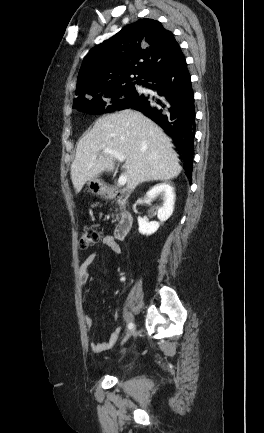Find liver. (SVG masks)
Masks as SVG:
<instances>
[{"mask_svg": "<svg viewBox=\"0 0 264 433\" xmlns=\"http://www.w3.org/2000/svg\"><path fill=\"white\" fill-rule=\"evenodd\" d=\"M105 148L125 156L127 188L131 191L146 181L173 179L182 170L162 129L143 114L126 109L99 118L79 140L71 165L77 193L87 181L114 170V158L103 152Z\"/></svg>", "mask_w": 264, "mask_h": 433, "instance_id": "1", "label": "liver"}]
</instances>
